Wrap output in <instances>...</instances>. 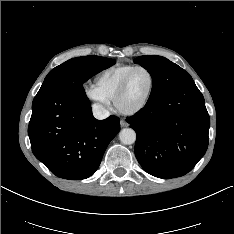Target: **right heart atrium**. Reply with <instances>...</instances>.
<instances>
[{"label":"right heart atrium","instance_id":"obj_1","mask_svg":"<svg viewBox=\"0 0 234 234\" xmlns=\"http://www.w3.org/2000/svg\"><path fill=\"white\" fill-rule=\"evenodd\" d=\"M86 95L88 98L101 104L102 106L107 107L110 104V100H108L95 85L86 88Z\"/></svg>","mask_w":234,"mask_h":234}]
</instances>
